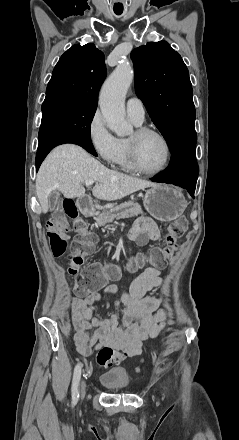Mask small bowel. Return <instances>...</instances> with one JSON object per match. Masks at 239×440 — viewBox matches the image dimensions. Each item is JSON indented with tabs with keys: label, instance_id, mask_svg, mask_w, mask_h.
Returning a JSON list of instances; mask_svg holds the SVG:
<instances>
[{
	"label": "small bowel",
	"instance_id": "c3829d8e",
	"mask_svg": "<svg viewBox=\"0 0 239 440\" xmlns=\"http://www.w3.org/2000/svg\"><path fill=\"white\" fill-rule=\"evenodd\" d=\"M160 236L156 223L149 217L136 220L129 237L139 245H146ZM145 268L131 283L128 290L115 285L105 288L103 294L88 291L84 297L72 298L71 330L76 350L83 356H89L96 349H111L114 352L113 363H120L127 357L141 353L143 342L155 338L166 325L167 312L160 309V297H147L146 293L160 287L163 280L160 270L148 266L146 254ZM120 293L114 299L116 310L123 304V318L120 324L119 314L113 312L108 318L93 316L97 303L104 296ZM155 313V314H154Z\"/></svg>",
	"mask_w": 239,
	"mask_h": 440
}]
</instances>
